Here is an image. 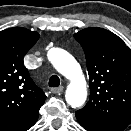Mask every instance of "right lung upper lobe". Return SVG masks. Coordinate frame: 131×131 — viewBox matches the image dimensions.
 I'll list each match as a JSON object with an SVG mask.
<instances>
[{
    "label": "right lung upper lobe",
    "mask_w": 131,
    "mask_h": 131,
    "mask_svg": "<svg viewBox=\"0 0 131 131\" xmlns=\"http://www.w3.org/2000/svg\"><path fill=\"white\" fill-rule=\"evenodd\" d=\"M38 39L21 27L0 32V131H26L38 119L46 95L23 62Z\"/></svg>",
    "instance_id": "right-lung-upper-lobe-1"
}]
</instances>
